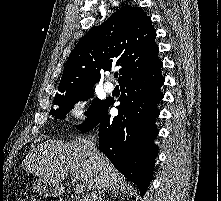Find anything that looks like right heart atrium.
I'll use <instances>...</instances> for the list:
<instances>
[{
    "label": "right heart atrium",
    "mask_w": 221,
    "mask_h": 201,
    "mask_svg": "<svg viewBox=\"0 0 221 201\" xmlns=\"http://www.w3.org/2000/svg\"><path fill=\"white\" fill-rule=\"evenodd\" d=\"M69 115L72 119L81 121L87 117V102L84 99L75 100L69 107Z\"/></svg>",
    "instance_id": "obj_1"
}]
</instances>
